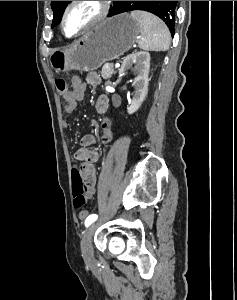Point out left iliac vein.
Masks as SVG:
<instances>
[{"mask_svg":"<svg viewBox=\"0 0 237 300\" xmlns=\"http://www.w3.org/2000/svg\"><path fill=\"white\" fill-rule=\"evenodd\" d=\"M96 227H97L96 223L91 224L82 238V253H83L84 262L86 266L90 268L93 266L94 263L91 241L94 232L96 230Z\"/></svg>","mask_w":237,"mask_h":300,"instance_id":"4c4485c4","label":"left iliac vein"}]
</instances>
